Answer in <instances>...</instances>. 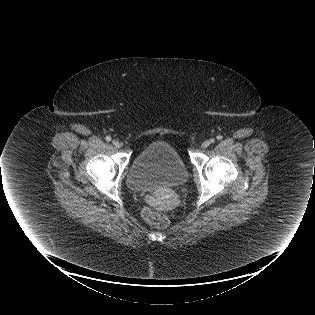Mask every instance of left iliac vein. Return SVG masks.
Wrapping results in <instances>:
<instances>
[{"mask_svg": "<svg viewBox=\"0 0 315 315\" xmlns=\"http://www.w3.org/2000/svg\"><path fill=\"white\" fill-rule=\"evenodd\" d=\"M211 144V142L209 141V140H206V141H204L203 143H202V148H207V147H209V145Z\"/></svg>", "mask_w": 315, "mask_h": 315, "instance_id": "1", "label": "left iliac vein"}]
</instances>
